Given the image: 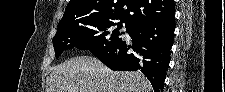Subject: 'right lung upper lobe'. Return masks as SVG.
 Masks as SVG:
<instances>
[{"label":"right lung upper lobe","mask_w":225,"mask_h":92,"mask_svg":"<svg viewBox=\"0 0 225 92\" xmlns=\"http://www.w3.org/2000/svg\"><path fill=\"white\" fill-rule=\"evenodd\" d=\"M175 16L173 0H70L58 29L74 22H113L133 27L146 21L168 20Z\"/></svg>","instance_id":"1"}]
</instances>
